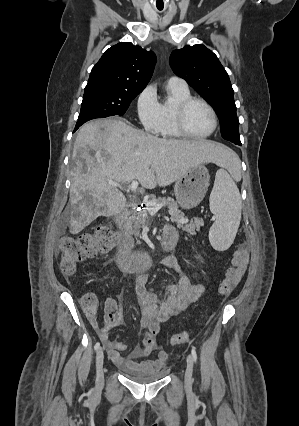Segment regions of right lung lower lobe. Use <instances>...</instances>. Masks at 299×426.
Listing matches in <instances>:
<instances>
[{"instance_id": "1", "label": "right lung lower lobe", "mask_w": 299, "mask_h": 426, "mask_svg": "<svg viewBox=\"0 0 299 426\" xmlns=\"http://www.w3.org/2000/svg\"><path fill=\"white\" fill-rule=\"evenodd\" d=\"M104 117H108V115H103V114H98V113H90L87 114L83 117H78V122L76 124L75 130L74 132L85 122L91 120V119H95V118H104Z\"/></svg>"}]
</instances>
